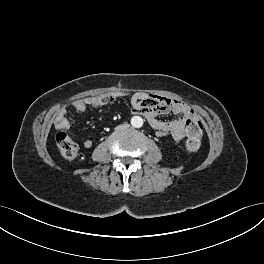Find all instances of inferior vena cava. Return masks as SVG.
<instances>
[{"instance_id": "1", "label": "inferior vena cava", "mask_w": 264, "mask_h": 264, "mask_svg": "<svg viewBox=\"0 0 264 264\" xmlns=\"http://www.w3.org/2000/svg\"><path fill=\"white\" fill-rule=\"evenodd\" d=\"M131 127V124L130 123H127V124H120L118 126V129L119 130H123V129H127V128H130Z\"/></svg>"}]
</instances>
